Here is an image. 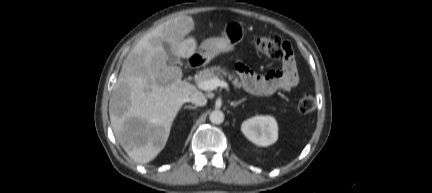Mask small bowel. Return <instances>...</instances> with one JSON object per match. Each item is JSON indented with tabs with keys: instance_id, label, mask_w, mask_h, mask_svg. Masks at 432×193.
<instances>
[{
	"instance_id": "c3829d8e",
	"label": "small bowel",
	"mask_w": 432,
	"mask_h": 193,
	"mask_svg": "<svg viewBox=\"0 0 432 193\" xmlns=\"http://www.w3.org/2000/svg\"><path fill=\"white\" fill-rule=\"evenodd\" d=\"M236 70L243 87L255 95H271L277 91H290L299 82L297 68L293 58L284 59L281 70H273L259 75L247 66L238 63Z\"/></svg>"
}]
</instances>
